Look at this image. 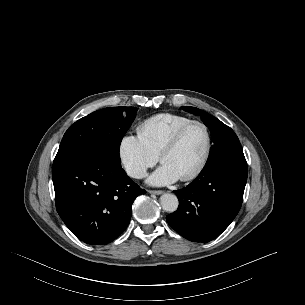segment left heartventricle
<instances>
[{"label": "left heart ventricle", "mask_w": 305, "mask_h": 305, "mask_svg": "<svg viewBox=\"0 0 305 305\" xmlns=\"http://www.w3.org/2000/svg\"><path fill=\"white\" fill-rule=\"evenodd\" d=\"M206 145L204 129L199 125L189 127L181 137L178 145L162 160L178 176L183 177L193 171L200 163Z\"/></svg>", "instance_id": "b2bd125f"}]
</instances>
